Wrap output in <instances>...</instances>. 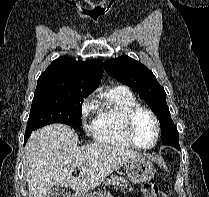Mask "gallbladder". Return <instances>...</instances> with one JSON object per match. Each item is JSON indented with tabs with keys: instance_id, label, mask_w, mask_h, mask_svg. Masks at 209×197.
<instances>
[{
	"instance_id": "gallbladder-1",
	"label": "gallbladder",
	"mask_w": 209,
	"mask_h": 197,
	"mask_svg": "<svg viewBox=\"0 0 209 197\" xmlns=\"http://www.w3.org/2000/svg\"><path fill=\"white\" fill-rule=\"evenodd\" d=\"M60 190L58 187H52L46 197H58Z\"/></svg>"
}]
</instances>
